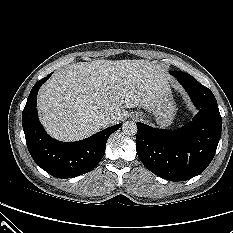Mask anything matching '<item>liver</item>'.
Segmentation results:
<instances>
[{
  "instance_id": "obj_1",
  "label": "liver",
  "mask_w": 233,
  "mask_h": 233,
  "mask_svg": "<svg viewBox=\"0 0 233 233\" xmlns=\"http://www.w3.org/2000/svg\"><path fill=\"white\" fill-rule=\"evenodd\" d=\"M168 88L164 70L146 60L74 63L40 88L38 110L52 137L76 141L104 128L98 116L115 124L127 115L125 108L150 109Z\"/></svg>"
}]
</instances>
